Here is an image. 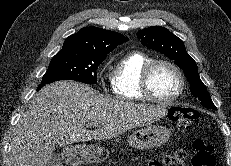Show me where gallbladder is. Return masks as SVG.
Segmentation results:
<instances>
[{"mask_svg": "<svg viewBox=\"0 0 231 166\" xmlns=\"http://www.w3.org/2000/svg\"><path fill=\"white\" fill-rule=\"evenodd\" d=\"M46 166H61L60 156L57 154L53 155Z\"/></svg>", "mask_w": 231, "mask_h": 166, "instance_id": "1", "label": "gallbladder"}]
</instances>
